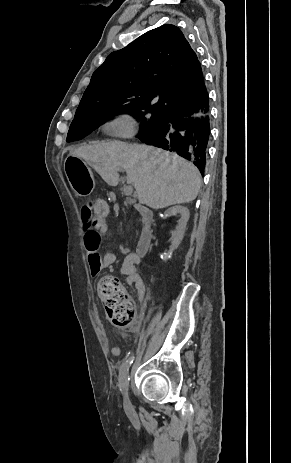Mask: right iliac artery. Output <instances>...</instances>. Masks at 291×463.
Masks as SVG:
<instances>
[{
	"label": "right iliac artery",
	"instance_id": "obj_1",
	"mask_svg": "<svg viewBox=\"0 0 291 463\" xmlns=\"http://www.w3.org/2000/svg\"><path fill=\"white\" fill-rule=\"evenodd\" d=\"M133 360H134V356L128 358L121 367L120 376H119L121 390L128 387L129 380H130L128 371H129V367L133 363Z\"/></svg>",
	"mask_w": 291,
	"mask_h": 463
}]
</instances>
